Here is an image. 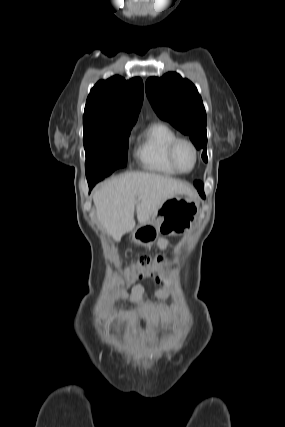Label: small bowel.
Wrapping results in <instances>:
<instances>
[{
	"mask_svg": "<svg viewBox=\"0 0 285 427\" xmlns=\"http://www.w3.org/2000/svg\"><path fill=\"white\" fill-rule=\"evenodd\" d=\"M167 245H168L167 241L165 240L159 241V246L161 249H166ZM143 291H144V287L142 284L134 285L132 292L129 296L130 300L134 303L140 302ZM155 295L158 298H163L166 296V291L163 289H156ZM139 318L144 321V325H145L144 338L148 343H154L157 339V334H158V315H157L156 309L151 306L144 305L139 312ZM137 323H138V317L135 315L132 316L130 318V324H131V331L133 334L137 332Z\"/></svg>",
	"mask_w": 285,
	"mask_h": 427,
	"instance_id": "1",
	"label": "small bowel"
}]
</instances>
